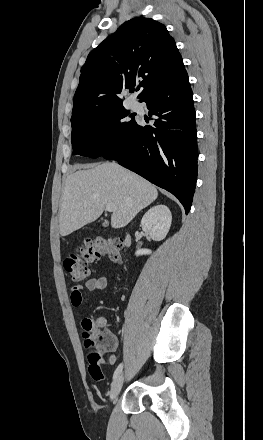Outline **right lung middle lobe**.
Segmentation results:
<instances>
[{"label": "right lung middle lobe", "instance_id": "dd1d6c3e", "mask_svg": "<svg viewBox=\"0 0 263 440\" xmlns=\"http://www.w3.org/2000/svg\"><path fill=\"white\" fill-rule=\"evenodd\" d=\"M123 105L92 111L71 121L73 154L97 158L119 143L137 125ZM131 117V115H130Z\"/></svg>", "mask_w": 263, "mask_h": 440}]
</instances>
